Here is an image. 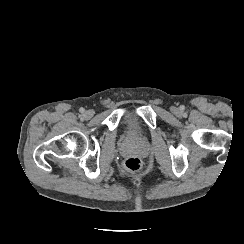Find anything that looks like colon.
I'll return each mask as SVG.
<instances>
[{
  "instance_id": "5ec220e1",
  "label": "colon",
  "mask_w": 244,
  "mask_h": 244,
  "mask_svg": "<svg viewBox=\"0 0 244 244\" xmlns=\"http://www.w3.org/2000/svg\"><path fill=\"white\" fill-rule=\"evenodd\" d=\"M122 167L130 172L138 171L142 167V160L136 156L127 157L123 160Z\"/></svg>"
}]
</instances>
